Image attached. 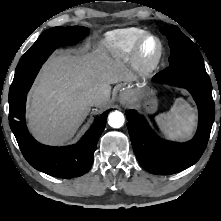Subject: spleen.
Wrapping results in <instances>:
<instances>
[{"label":"spleen","mask_w":221,"mask_h":221,"mask_svg":"<svg viewBox=\"0 0 221 221\" xmlns=\"http://www.w3.org/2000/svg\"><path fill=\"white\" fill-rule=\"evenodd\" d=\"M155 120L161 132L172 140L190 137L196 125L193 108L182 98L175 101L169 113L159 114Z\"/></svg>","instance_id":"1"}]
</instances>
